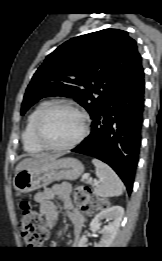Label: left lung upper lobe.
Returning <instances> with one entry per match:
<instances>
[{"mask_svg":"<svg viewBox=\"0 0 162 261\" xmlns=\"http://www.w3.org/2000/svg\"><path fill=\"white\" fill-rule=\"evenodd\" d=\"M134 39L119 29L72 38L49 54L26 89L21 115L47 96L74 98L92 117L112 89L141 65Z\"/></svg>","mask_w":162,"mask_h":261,"instance_id":"left-lung-upper-lobe-1","label":"left lung upper lobe"}]
</instances>
